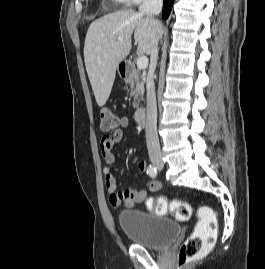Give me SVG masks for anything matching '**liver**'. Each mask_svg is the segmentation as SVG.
<instances>
[{
	"mask_svg": "<svg viewBox=\"0 0 265 269\" xmlns=\"http://www.w3.org/2000/svg\"><path fill=\"white\" fill-rule=\"evenodd\" d=\"M139 54L150 55L162 34V24L128 9L107 14L88 28L84 44L86 71L98 106L107 102L118 64L130 53L132 35ZM122 37V41L118 38Z\"/></svg>",
	"mask_w": 265,
	"mask_h": 269,
	"instance_id": "liver-1",
	"label": "liver"
}]
</instances>
